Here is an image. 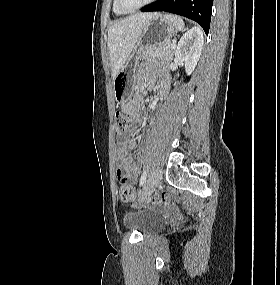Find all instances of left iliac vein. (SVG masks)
<instances>
[{
	"label": "left iliac vein",
	"instance_id": "1",
	"mask_svg": "<svg viewBox=\"0 0 280 285\" xmlns=\"http://www.w3.org/2000/svg\"><path fill=\"white\" fill-rule=\"evenodd\" d=\"M162 179V171L159 167L153 169L151 172L144 189L142 191V199L144 200L147 196L151 195L159 186Z\"/></svg>",
	"mask_w": 280,
	"mask_h": 285
}]
</instances>
